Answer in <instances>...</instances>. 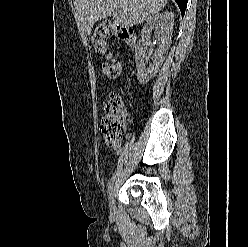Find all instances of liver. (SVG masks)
Returning <instances> with one entry per match:
<instances>
[{"instance_id":"6515ba94","label":"liver","mask_w":248,"mask_h":247,"mask_svg":"<svg viewBox=\"0 0 248 247\" xmlns=\"http://www.w3.org/2000/svg\"><path fill=\"white\" fill-rule=\"evenodd\" d=\"M167 0H74L83 29L90 34L99 19L113 17L122 27L148 20L166 6Z\"/></svg>"}]
</instances>
